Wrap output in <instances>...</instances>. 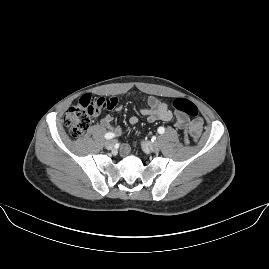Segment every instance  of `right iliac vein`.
I'll return each instance as SVG.
<instances>
[{"mask_svg": "<svg viewBox=\"0 0 269 269\" xmlns=\"http://www.w3.org/2000/svg\"><path fill=\"white\" fill-rule=\"evenodd\" d=\"M115 144H116V140H114V139L107 140L106 143H105V147L107 149H112Z\"/></svg>", "mask_w": 269, "mask_h": 269, "instance_id": "obj_1", "label": "right iliac vein"}]
</instances>
